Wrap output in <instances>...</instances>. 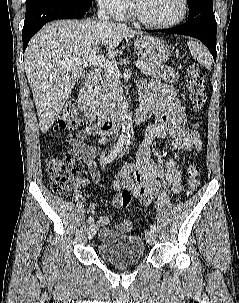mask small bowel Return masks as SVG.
Returning <instances> with one entry per match:
<instances>
[{
  "label": "small bowel",
  "instance_id": "1",
  "mask_svg": "<svg viewBox=\"0 0 239 303\" xmlns=\"http://www.w3.org/2000/svg\"><path fill=\"white\" fill-rule=\"evenodd\" d=\"M172 94V90L158 80H152L141 87V99L144 106L151 108L156 114V122L147 128L137 151L136 162L124 166L118 172L113 183V189L117 193L112 201L113 208L122 207L118 195L122 189L129 190L144 205H149L165 186H168L173 194L182 191V171L176 153L189 149L200 153L202 141L195 130L186 127L184 113L178 101L172 98ZM90 136L98 137L97 145L85 143ZM168 136L171 137V153L164 156L163 166L152 160L151 145L155 140ZM106 142L107 137L99 133L94 126L79 131L71 142L69 152L88 168L92 182L99 179V168L94 158L100 154L101 146ZM89 183L90 181L85 182ZM89 211L91 214L96 213L94 204H90ZM109 223L108 216H102L96 222L99 237L104 241H110L131 228L130 221H124L112 228Z\"/></svg>",
  "mask_w": 239,
  "mask_h": 303
}]
</instances>
